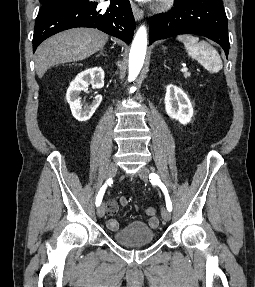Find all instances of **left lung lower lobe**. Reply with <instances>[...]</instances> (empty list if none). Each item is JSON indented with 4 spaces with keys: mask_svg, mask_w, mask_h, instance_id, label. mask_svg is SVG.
Returning a JSON list of instances; mask_svg holds the SVG:
<instances>
[{
    "mask_svg": "<svg viewBox=\"0 0 255 287\" xmlns=\"http://www.w3.org/2000/svg\"><path fill=\"white\" fill-rule=\"evenodd\" d=\"M179 34L212 39L228 57V24L222 0H175L170 12L151 17L150 44Z\"/></svg>",
    "mask_w": 255,
    "mask_h": 287,
    "instance_id": "0a47b994",
    "label": "left lung lower lobe"
}]
</instances>
